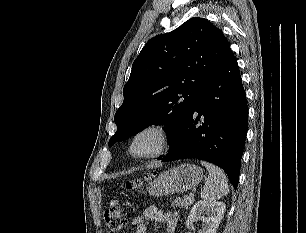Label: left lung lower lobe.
Returning <instances> with one entry per match:
<instances>
[{"label": "left lung lower lobe", "mask_w": 306, "mask_h": 233, "mask_svg": "<svg viewBox=\"0 0 306 233\" xmlns=\"http://www.w3.org/2000/svg\"><path fill=\"white\" fill-rule=\"evenodd\" d=\"M201 116L204 122L198 126ZM247 127L246 94L236 58L230 51L171 141L169 153L158 160L209 161L226 172L236 189Z\"/></svg>", "instance_id": "left-lung-lower-lobe-1"}]
</instances>
